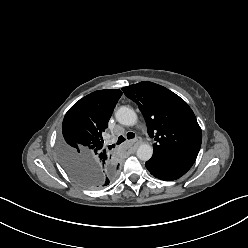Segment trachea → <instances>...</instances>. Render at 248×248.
<instances>
[{"label":"trachea","instance_id":"trachea-1","mask_svg":"<svg viewBox=\"0 0 248 248\" xmlns=\"http://www.w3.org/2000/svg\"><path fill=\"white\" fill-rule=\"evenodd\" d=\"M135 137V134L133 132L127 133V139H133ZM126 139L123 136H120L117 141V145L121 144L124 142ZM111 147H115V144H113Z\"/></svg>","mask_w":248,"mask_h":248}]
</instances>
